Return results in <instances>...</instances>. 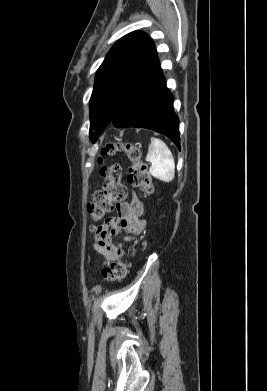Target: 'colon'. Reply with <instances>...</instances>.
<instances>
[{"label": "colon", "instance_id": "colon-1", "mask_svg": "<svg viewBox=\"0 0 267 391\" xmlns=\"http://www.w3.org/2000/svg\"><path fill=\"white\" fill-rule=\"evenodd\" d=\"M120 151L125 152L132 163L127 174L128 182L146 194L151 193L152 178L147 165L142 160V152L138 145L129 141L118 143L109 141L102 149V156H113ZM100 163H102L101 159ZM121 173L122 169L118 163L100 167L103 187L94 194L92 202L88 205V213L93 223L91 229L96 233L99 231L96 224L113 209L115 202L126 198L127 188L121 182ZM127 269V263L116 260L102 270V276L106 281L121 280L126 275Z\"/></svg>", "mask_w": 267, "mask_h": 391}]
</instances>
